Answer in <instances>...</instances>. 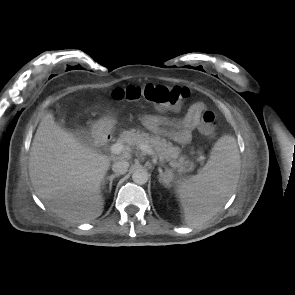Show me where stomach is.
Wrapping results in <instances>:
<instances>
[{"label": "stomach", "instance_id": "stomach-1", "mask_svg": "<svg viewBox=\"0 0 295 295\" xmlns=\"http://www.w3.org/2000/svg\"><path fill=\"white\" fill-rule=\"evenodd\" d=\"M115 124L116 118L114 113L110 111L108 115L104 116L93 125V131L97 134L108 133L112 130Z\"/></svg>", "mask_w": 295, "mask_h": 295}]
</instances>
